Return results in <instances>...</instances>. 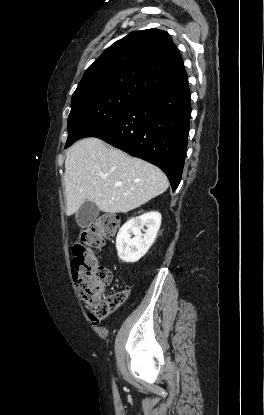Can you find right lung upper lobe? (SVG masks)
<instances>
[{
	"label": "right lung upper lobe",
	"mask_w": 264,
	"mask_h": 415,
	"mask_svg": "<svg viewBox=\"0 0 264 415\" xmlns=\"http://www.w3.org/2000/svg\"><path fill=\"white\" fill-rule=\"evenodd\" d=\"M187 78L182 56L166 31H135L91 64L72 99L111 91L143 98Z\"/></svg>",
	"instance_id": "cb5924a9"
}]
</instances>
